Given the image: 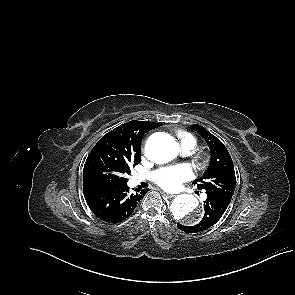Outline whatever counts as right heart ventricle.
I'll return each mask as SVG.
<instances>
[{
	"label": "right heart ventricle",
	"mask_w": 295,
	"mask_h": 295,
	"mask_svg": "<svg viewBox=\"0 0 295 295\" xmlns=\"http://www.w3.org/2000/svg\"><path fill=\"white\" fill-rule=\"evenodd\" d=\"M177 136L181 146L191 145L193 148L196 146V139L191 133L180 130L177 132Z\"/></svg>",
	"instance_id": "1"
}]
</instances>
